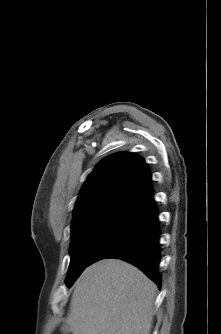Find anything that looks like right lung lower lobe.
<instances>
[{
    "instance_id": "right-lung-lower-lobe-1",
    "label": "right lung lower lobe",
    "mask_w": 221,
    "mask_h": 334,
    "mask_svg": "<svg viewBox=\"0 0 221 334\" xmlns=\"http://www.w3.org/2000/svg\"><path fill=\"white\" fill-rule=\"evenodd\" d=\"M160 229L155 205L141 225L106 258H118L138 267L147 277L161 287L158 266L161 258Z\"/></svg>"
}]
</instances>
